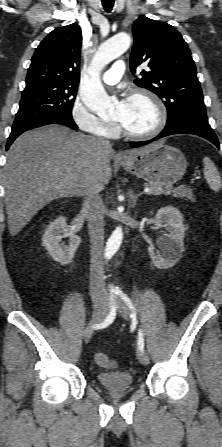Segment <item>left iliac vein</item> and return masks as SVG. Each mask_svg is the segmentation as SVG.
<instances>
[{
	"label": "left iliac vein",
	"instance_id": "4c4485c4",
	"mask_svg": "<svg viewBox=\"0 0 222 447\" xmlns=\"http://www.w3.org/2000/svg\"><path fill=\"white\" fill-rule=\"evenodd\" d=\"M116 303H117L118 311L122 315V317L125 320H130L131 310L128 307L127 303L119 298H117ZM138 360L142 365L146 366L149 364V357L144 349H139Z\"/></svg>",
	"mask_w": 222,
	"mask_h": 447
}]
</instances>
